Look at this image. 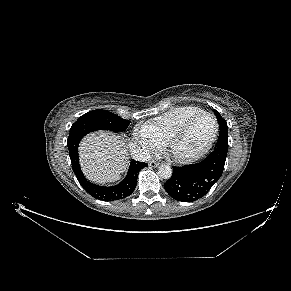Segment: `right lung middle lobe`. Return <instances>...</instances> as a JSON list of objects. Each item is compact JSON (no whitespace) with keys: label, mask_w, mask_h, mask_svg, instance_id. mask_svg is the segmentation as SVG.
<instances>
[{"label":"right lung middle lobe","mask_w":291,"mask_h":291,"mask_svg":"<svg viewBox=\"0 0 291 291\" xmlns=\"http://www.w3.org/2000/svg\"><path fill=\"white\" fill-rule=\"evenodd\" d=\"M74 124H91L98 129L123 132L129 126L130 121L109 111L98 109L80 116Z\"/></svg>","instance_id":"1"}]
</instances>
